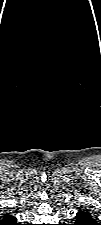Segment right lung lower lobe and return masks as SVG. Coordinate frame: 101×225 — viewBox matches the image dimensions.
Wrapping results in <instances>:
<instances>
[{"mask_svg":"<svg viewBox=\"0 0 101 225\" xmlns=\"http://www.w3.org/2000/svg\"><path fill=\"white\" fill-rule=\"evenodd\" d=\"M8 225H19V224H17L16 221H15L14 223H8Z\"/></svg>","mask_w":101,"mask_h":225,"instance_id":"98d812e1","label":"right lung lower lobe"}]
</instances>
